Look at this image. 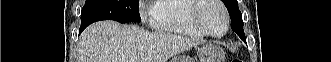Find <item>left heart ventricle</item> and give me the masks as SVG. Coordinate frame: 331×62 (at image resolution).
Here are the masks:
<instances>
[{
	"instance_id": "left-heart-ventricle-1",
	"label": "left heart ventricle",
	"mask_w": 331,
	"mask_h": 62,
	"mask_svg": "<svg viewBox=\"0 0 331 62\" xmlns=\"http://www.w3.org/2000/svg\"><path fill=\"white\" fill-rule=\"evenodd\" d=\"M204 26L214 34H220L225 28L224 17L221 9L215 4L206 5L200 12Z\"/></svg>"
}]
</instances>
